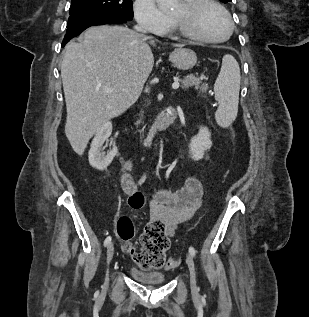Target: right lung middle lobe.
Here are the masks:
<instances>
[{
  "instance_id": "obj_1",
  "label": "right lung middle lobe",
  "mask_w": 309,
  "mask_h": 317,
  "mask_svg": "<svg viewBox=\"0 0 309 317\" xmlns=\"http://www.w3.org/2000/svg\"><path fill=\"white\" fill-rule=\"evenodd\" d=\"M132 4V0H72L69 14L98 13L130 21L133 19Z\"/></svg>"
}]
</instances>
